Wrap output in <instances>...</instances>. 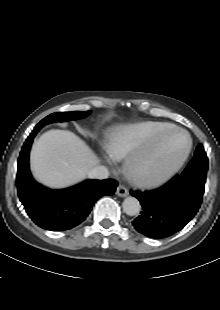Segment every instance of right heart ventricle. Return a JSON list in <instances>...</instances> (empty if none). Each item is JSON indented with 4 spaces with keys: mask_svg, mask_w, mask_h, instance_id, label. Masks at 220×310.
Masks as SVG:
<instances>
[{
    "mask_svg": "<svg viewBox=\"0 0 220 310\" xmlns=\"http://www.w3.org/2000/svg\"><path fill=\"white\" fill-rule=\"evenodd\" d=\"M169 126L168 123L147 121L125 127L106 145V151L111 158L122 160L133 151L150 145L154 135Z\"/></svg>",
    "mask_w": 220,
    "mask_h": 310,
    "instance_id": "right-heart-ventricle-1",
    "label": "right heart ventricle"
}]
</instances>
